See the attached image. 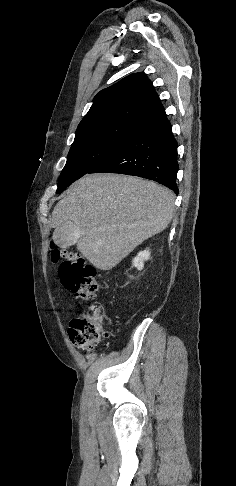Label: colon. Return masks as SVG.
I'll list each match as a JSON object with an SVG mask.
<instances>
[{
  "label": "colon",
  "instance_id": "5ec220e1",
  "mask_svg": "<svg viewBox=\"0 0 236 486\" xmlns=\"http://www.w3.org/2000/svg\"><path fill=\"white\" fill-rule=\"evenodd\" d=\"M51 261L54 264L61 261L59 277L66 289L82 300L88 302L94 300L98 289L96 270L80 253L53 247ZM104 333L103 316L100 308L94 303L72 319L68 330L71 342L82 350L92 349Z\"/></svg>",
  "mask_w": 236,
  "mask_h": 486
}]
</instances>
